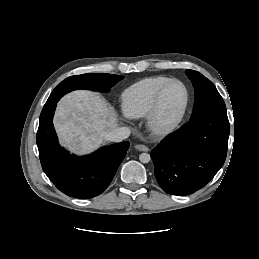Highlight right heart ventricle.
<instances>
[{"label": "right heart ventricle", "instance_id": "e07e8e85", "mask_svg": "<svg viewBox=\"0 0 259 259\" xmlns=\"http://www.w3.org/2000/svg\"><path fill=\"white\" fill-rule=\"evenodd\" d=\"M166 76H152L144 78L121 94V106L124 114L130 118L145 117L152 105L157 89L167 81Z\"/></svg>", "mask_w": 259, "mask_h": 259}]
</instances>
